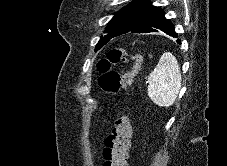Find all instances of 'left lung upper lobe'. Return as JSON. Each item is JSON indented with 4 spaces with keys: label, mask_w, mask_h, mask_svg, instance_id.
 Instances as JSON below:
<instances>
[{
    "label": "left lung upper lobe",
    "mask_w": 227,
    "mask_h": 166,
    "mask_svg": "<svg viewBox=\"0 0 227 166\" xmlns=\"http://www.w3.org/2000/svg\"><path fill=\"white\" fill-rule=\"evenodd\" d=\"M146 1L147 0H135L117 12L107 24V28L105 29L106 35L101 36L96 45V50L100 49L111 38L129 29Z\"/></svg>",
    "instance_id": "1"
}]
</instances>
